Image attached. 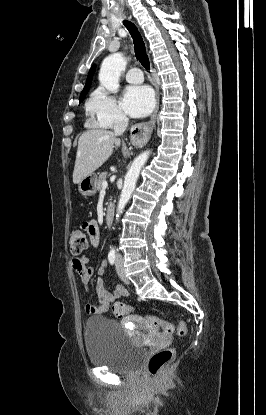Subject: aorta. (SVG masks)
Masks as SVG:
<instances>
[{
	"label": "aorta",
	"mask_w": 266,
	"mask_h": 415,
	"mask_svg": "<svg viewBox=\"0 0 266 415\" xmlns=\"http://www.w3.org/2000/svg\"><path fill=\"white\" fill-rule=\"evenodd\" d=\"M126 67V60L122 53H114L106 57L101 65L99 73V81L108 91L117 93L119 88V78L121 72ZM150 151H145L137 156L130 169L125 175L124 184L120 199L117 206L116 219L120 217L126 204L128 203L131 195L136 187V182L139 178L140 171L146 163Z\"/></svg>",
	"instance_id": "obj_1"
}]
</instances>
